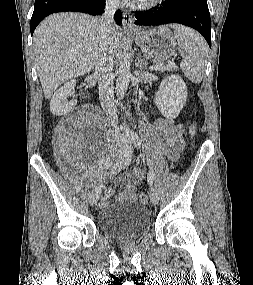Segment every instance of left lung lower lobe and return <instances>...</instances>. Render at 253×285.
Returning <instances> with one entry per match:
<instances>
[{
  "instance_id": "left-lung-lower-lobe-1",
  "label": "left lung lower lobe",
  "mask_w": 253,
  "mask_h": 285,
  "mask_svg": "<svg viewBox=\"0 0 253 285\" xmlns=\"http://www.w3.org/2000/svg\"><path fill=\"white\" fill-rule=\"evenodd\" d=\"M138 25L180 23L200 32L211 47V19L207 0H165L145 13L135 12Z\"/></svg>"
}]
</instances>
